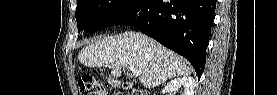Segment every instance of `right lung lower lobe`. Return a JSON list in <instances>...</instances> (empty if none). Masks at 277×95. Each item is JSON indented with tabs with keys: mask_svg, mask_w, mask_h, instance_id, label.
I'll return each mask as SVG.
<instances>
[{
	"mask_svg": "<svg viewBox=\"0 0 277 95\" xmlns=\"http://www.w3.org/2000/svg\"><path fill=\"white\" fill-rule=\"evenodd\" d=\"M216 1L141 0L116 24L136 27L184 56L200 79L205 67Z\"/></svg>",
	"mask_w": 277,
	"mask_h": 95,
	"instance_id": "right-lung-lower-lobe-1",
	"label": "right lung lower lobe"
}]
</instances>
